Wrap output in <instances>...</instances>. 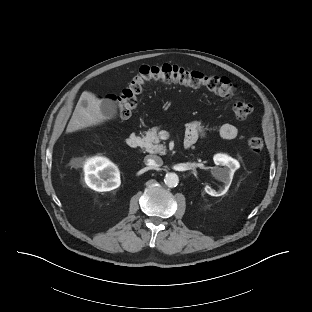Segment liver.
Masks as SVG:
<instances>
[{"label":"liver","instance_id":"liver-1","mask_svg":"<svg viewBox=\"0 0 312 312\" xmlns=\"http://www.w3.org/2000/svg\"><path fill=\"white\" fill-rule=\"evenodd\" d=\"M105 117L100 112V100L91 92L84 91L68 123L66 133L100 125Z\"/></svg>","mask_w":312,"mask_h":312}]
</instances>
